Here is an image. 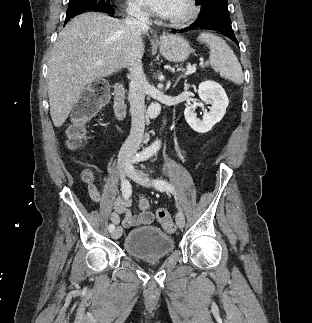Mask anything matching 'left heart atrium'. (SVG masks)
<instances>
[{
	"mask_svg": "<svg viewBox=\"0 0 312 323\" xmlns=\"http://www.w3.org/2000/svg\"><path fill=\"white\" fill-rule=\"evenodd\" d=\"M136 8H145L152 12H171V0H132Z\"/></svg>",
	"mask_w": 312,
	"mask_h": 323,
	"instance_id": "1",
	"label": "left heart atrium"
}]
</instances>
